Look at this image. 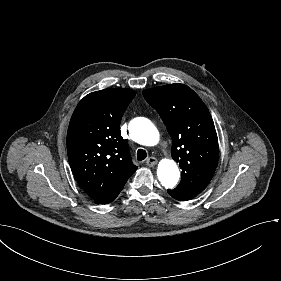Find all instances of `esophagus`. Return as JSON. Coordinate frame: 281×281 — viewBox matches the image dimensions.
<instances>
[{"mask_svg":"<svg viewBox=\"0 0 281 281\" xmlns=\"http://www.w3.org/2000/svg\"><path fill=\"white\" fill-rule=\"evenodd\" d=\"M157 159L155 157H149L147 160H146V164L147 166L149 167H153L157 164Z\"/></svg>","mask_w":281,"mask_h":281,"instance_id":"esophagus-1","label":"esophagus"}]
</instances>
